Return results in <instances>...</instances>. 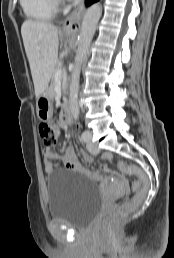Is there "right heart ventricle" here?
I'll return each mask as SVG.
<instances>
[{
	"mask_svg": "<svg viewBox=\"0 0 174 258\" xmlns=\"http://www.w3.org/2000/svg\"><path fill=\"white\" fill-rule=\"evenodd\" d=\"M20 5L25 16L34 21H48L56 12L54 0H20Z\"/></svg>",
	"mask_w": 174,
	"mask_h": 258,
	"instance_id": "1",
	"label": "right heart ventricle"
}]
</instances>
